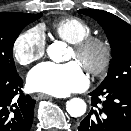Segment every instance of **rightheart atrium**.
Here are the masks:
<instances>
[{"label":"right heart atrium","instance_id":"d8ad5b80","mask_svg":"<svg viewBox=\"0 0 131 131\" xmlns=\"http://www.w3.org/2000/svg\"><path fill=\"white\" fill-rule=\"evenodd\" d=\"M12 50L15 60L22 66L40 60L46 52V39L42 28L35 26L18 35Z\"/></svg>","mask_w":131,"mask_h":131}]
</instances>
